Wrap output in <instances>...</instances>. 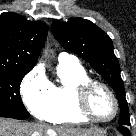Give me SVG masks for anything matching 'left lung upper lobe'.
<instances>
[{
  "label": "left lung upper lobe",
  "instance_id": "5c2ea615",
  "mask_svg": "<svg viewBox=\"0 0 136 136\" xmlns=\"http://www.w3.org/2000/svg\"><path fill=\"white\" fill-rule=\"evenodd\" d=\"M51 29L65 49L82 57L112 87L120 105L119 125H130L119 62L113 52L111 38L91 21L81 18L68 22L55 20Z\"/></svg>",
  "mask_w": 136,
  "mask_h": 136
}]
</instances>
